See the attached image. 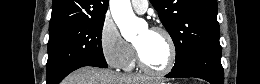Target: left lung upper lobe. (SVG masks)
I'll list each match as a JSON object with an SVG mask.
<instances>
[{"instance_id":"1","label":"left lung upper lobe","mask_w":260,"mask_h":84,"mask_svg":"<svg viewBox=\"0 0 260 84\" xmlns=\"http://www.w3.org/2000/svg\"><path fill=\"white\" fill-rule=\"evenodd\" d=\"M176 47L173 69L196 52L220 46L216 0H150Z\"/></svg>"}]
</instances>
